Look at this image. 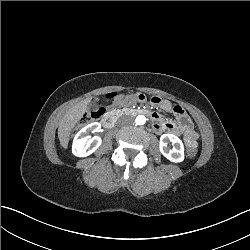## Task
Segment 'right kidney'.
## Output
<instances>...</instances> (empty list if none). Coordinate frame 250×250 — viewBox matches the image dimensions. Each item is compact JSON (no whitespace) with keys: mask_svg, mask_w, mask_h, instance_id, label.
<instances>
[{"mask_svg":"<svg viewBox=\"0 0 250 250\" xmlns=\"http://www.w3.org/2000/svg\"><path fill=\"white\" fill-rule=\"evenodd\" d=\"M100 129L101 124L98 122L83 127L73 139L72 153L79 157H85L94 152L100 146L102 140L100 136H93L87 140L88 133L98 132Z\"/></svg>","mask_w":250,"mask_h":250,"instance_id":"1","label":"right kidney"}]
</instances>
